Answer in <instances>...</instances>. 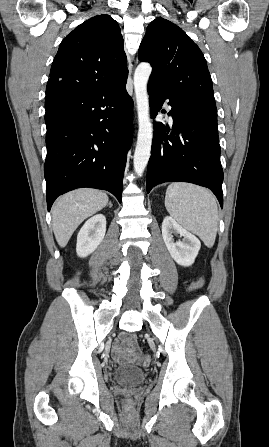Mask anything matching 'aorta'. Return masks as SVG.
I'll use <instances>...</instances> for the list:
<instances>
[{"label":"aorta","instance_id":"aorta-1","mask_svg":"<svg viewBox=\"0 0 269 447\" xmlns=\"http://www.w3.org/2000/svg\"><path fill=\"white\" fill-rule=\"evenodd\" d=\"M152 72L150 64L142 62L135 70L134 90L138 114V136L134 152V170L138 176L143 174L151 156L153 140V128L149 112V96L147 94V82Z\"/></svg>","mask_w":269,"mask_h":447}]
</instances>
